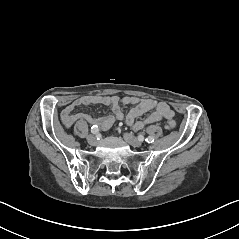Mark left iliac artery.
<instances>
[{"mask_svg": "<svg viewBox=\"0 0 239 239\" xmlns=\"http://www.w3.org/2000/svg\"><path fill=\"white\" fill-rule=\"evenodd\" d=\"M145 140L148 143H152V142H154V137L153 136H148Z\"/></svg>", "mask_w": 239, "mask_h": 239, "instance_id": "44dca946", "label": "left iliac artery"}]
</instances>
